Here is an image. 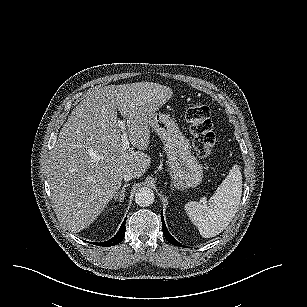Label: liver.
I'll return each instance as SVG.
<instances>
[{
  "label": "liver",
  "mask_w": 307,
  "mask_h": 307,
  "mask_svg": "<svg viewBox=\"0 0 307 307\" xmlns=\"http://www.w3.org/2000/svg\"><path fill=\"white\" fill-rule=\"evenodd\" d=\"M172 95L153 82L108 85L90 89L71 111L51 151L48 183L58 219L71 232L88 226L132 172L148 169L146 149L151 116ZM117 109L124 121H117ZM138 151L123 152L122 130Z\"/></svg>",
  "instance_id": "6515ba94"
}]
</instances>
